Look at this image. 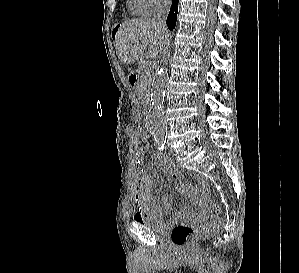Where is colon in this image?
Returning a JSON list of instances; mask_svg holds the SVG:
<instances>
[{
	"label": "colon",
	"instance_id": "obj_1",
	"mask_svg": "<svg viewBox=\"0 0 299 273\" xmlns=\"http://www.w3.org/2000/svg\"><path fill=\"white\" fill-rule=\"evenodd\" d=\"M141 141L143 143V148H150V137L148 134H142ZM199 184L203 189L206 188L205 182L202 179H199ZM208 209L212 219L207 222L198 224L179 223L175 225L171 230L172 243L178 247H184L194 238L206 235L217 228L219 222L215 218L219 214V207L216 202L210 201Z\"/></svg>",
	"mask_w": 299,
	"mask_h": 273
}]
</instances>
